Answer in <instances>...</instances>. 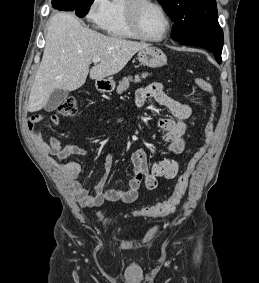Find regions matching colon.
Here are the masks:
<instances>
[{"mask_svg": "<svg viewBox=\"0 0 259 283\" xmlns=\"http://www.w3.org/2000/svg\"><path fill=\"white\" fill-rule=\"evenodd\" d=\"M194 81L198 88L211 95L212 107L215 109L216 101L212 84L202 77H196ZM77 110V100L75 97L70 96L65 98L60 103L57 108V113L63 117H72L77 113ZM213 130L214 124L213 119H211L204 128L201 144L191 155L186 170L180 175L178 182L176 183L169 198L163 202L139 210L136 212V215L145 217H158L163 214L171 213L177 208L186 194L192 172L194 171L198 161L201 159L211 141Z\"/></svg>", "mask_w": 259, "mask_h": 283, "instance_id": "5ec220e1", "label": "colon"}]
</instances>
